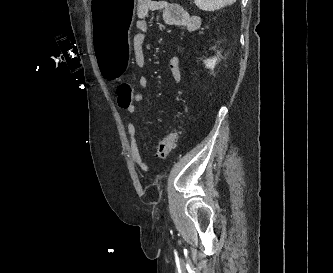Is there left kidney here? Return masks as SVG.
<instances>
[{"mask_svg":"<svg viewBox=\"0 0 333 273\" xmlns=\"http://www.w3.org/2000/svg\"><path fill=\"white\" fill-rule=\"evenodd\" d=\"M218 62V58L217 57H213V58H210V59H206L204 61L205 63V66L209 69H214L215 68V65L216 63Z\"/></svg>","mask_w":333,"mask_h":273,"instance_id":"1","label":"left kidney"}]
</instances>
